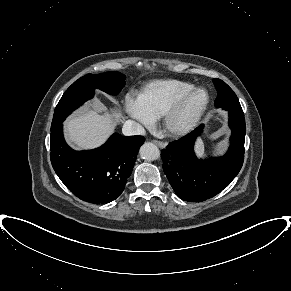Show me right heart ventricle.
Instances as JSON below:
<instances>
[{"mask_svg": "<svg viewBox=\"0 0 291 291\" xmlns=\"http://www.w3.org/2000/svg\"><path fill=\"white\" fill-rule=\"evenodd\" d=\"M193 87V84L177 79L155 80L140 91L137 100L154 120L160 118L179 96Z\"/></svg>", "mask_w": 291, "mask_h": 291, "instance_id": "obj_1", "label": "right heart ventricle"}]
</instances>
